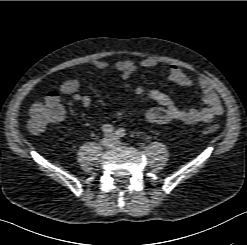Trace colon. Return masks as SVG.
Listing matches in <instances>:
<instances>
[{
	"label": "colon",
	"mask_w": 247,
	"mask_h": 245,
	"mask_svg": "<svg viewBox=\"0 0 247 245\" xmlns=\"http://www.w3.org/2000/svg\"><path fill=\"white\" fill-rule=\"evenodd\" d=\"M124 86L128 88L130 84L126 83ZM62 118L63 111L57 104L38 101L29 108L28 128L33 133H41L47 126L59 122ZM218 129V124H209L203 128V132L210 134Z\"/></svg>",
	"instance_id": "1"
}]
</instances>
